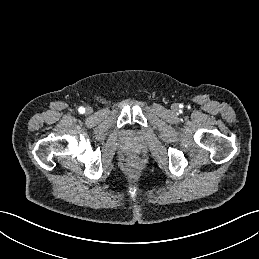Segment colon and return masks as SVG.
<instances>
[{"mask_svg":"<svg viewBox=\"0 0 259 259\" xmlns=\"http://www.w3.org/2000/svg\"><path fill=\"white\" fill-rule=\"evenodd\" d=\"M130 165L132 167H136L137 166V161L135 159H132L131 162H130Z\"/></svg>","mask_w":259,"mask_h":259,"instance_id":"colon-1","label":"colon"}]
</instances>
